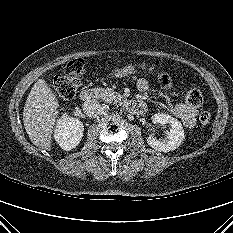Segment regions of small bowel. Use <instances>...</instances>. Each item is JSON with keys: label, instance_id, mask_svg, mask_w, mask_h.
Masks as SVG:
<instances>
[{"label": "small bowel", "instance_id": "obj_1", "mask_svg": "<svg viewBox=\"0 0 233 233\" xmlns=\"http://www.w3.org/2000/svg\"><path fill=\"white\" fill-rule=\"evenodd\" d=\"M159 81L163 85H169L170 83V79L166 74L160 75ZM137 88L141 92L147 91L149 89L148 81L144 78L139 79ZM169 109L186 127L191 128L195 125L197 110L194 107L189 106L186 102L172 103L169 105Z\"/></svg>", "mask_w": 233, "mask_h": 233}]
</instances>
